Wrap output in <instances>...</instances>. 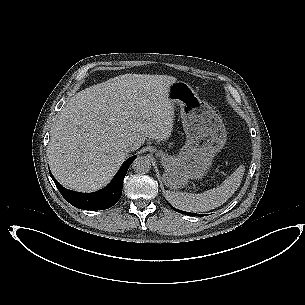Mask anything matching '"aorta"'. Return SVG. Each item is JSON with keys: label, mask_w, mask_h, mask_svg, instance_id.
Returning <instances> with one entry per match:
<instances>
[{"label": "aorta", "mask_w": 305, "mask_h": 305, "mask_svg": "<svg viewBox=\"0 0 305 305\" xmlns=\"http://www.w3.org/2000/svg\"><path fill=\"white\" fill-rule=\"evenodd\" d=\"M136 173L145 174L151 170V161L147 156H138L132 163Z\"/></svg>", "instance_id": "762f6f07"}]
</instances>
